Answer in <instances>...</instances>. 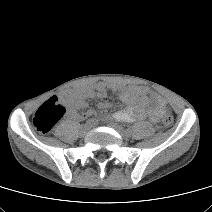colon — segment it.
I'll list each match as a JSON object with an SVG mask.
<instances>
[{
	"instance_id": "colon-1",
	"label": "colon",
	"mask_w": 212,
	"mask_h": 212,
	"mask_svg": "<svg viewBox=\"0 0 212 212\" xmlns=\"http://www.w3.org/2000/svg\"><path fill=\"white\" fill-rule=\"evenodd\" d=\"M65 112V107L58 101L57 97L52 96L35 112L33 125L38 132L48 133L62 119ZM173 121V116L170 114H166L162 119L163 124L166 126H170Z\"/></svg>"
}]
</instances>
